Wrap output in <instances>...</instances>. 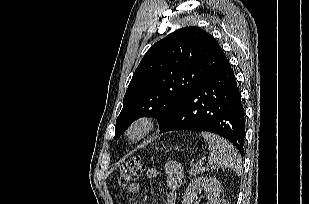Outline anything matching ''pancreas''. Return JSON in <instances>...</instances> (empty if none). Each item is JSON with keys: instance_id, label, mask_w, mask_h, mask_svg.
I'll return each instance as SVG.
<instances>
[{"instance_id": "obj_1", "label": "pancreas", "mask_w": 309, "mask_h": 204, "mask_svg": "<svg viewBox=\"0 0 309 204\" xmlns=\"http://www.w3.org/2000/svg\"><path fill=\"white\" fill-rule=\"evenodd\" d=\"M205 171V168L200 163H191V166L188 170L189 175H198L200 173H203Z\"/></svg>"}]
</instances>
